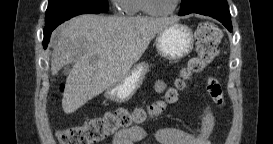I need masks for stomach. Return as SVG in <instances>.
Here are the masks:
<instances>
[{
    "label": "stomach",
    "instance_id": "0dacf381",
    "mask_svg": "<svg viewBox=\"0 0 273 144\" xmlns=\"http://www.w3.org/2000/svg\"><path fill=\"white\" fill-rule=\"evenodd\" d=\"M193 32L185 24L173 23L157 34V52L164 58L177 60L187 56L193 49ZM149 65L145 62L134 65L125 77L108 88L105 97L121 103L129 100L142 85Z\"/></svg>",
    "mask_w": 273,
    "mask_h": 144
}]
</instances>
